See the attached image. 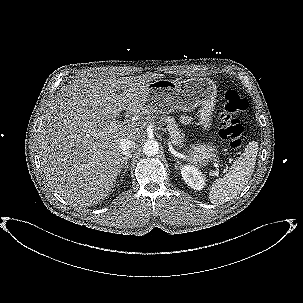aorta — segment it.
<instances>
[{"instance_id": "aorta-1", "label": "aorta", "mask_w": 303, "mask_h": 303, "mask_svg": "<svg viewBox=\"0 0 303 303\" xmlns=\"http://www.w3.org/2000/svg\"><path fill=\"white\" fill-rule=\"evenodd\" d=\"M159 152V144L153 139L147 140L143 145V153L147 156H155Z\"/></svg>"}]
</instances>
